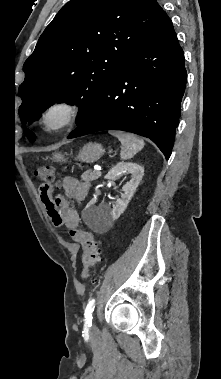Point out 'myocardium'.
I'll list each match as a JSON object with an SVG mask.
<instances>
[{
  "label": "myocardium",
  "mask_w": 221,
  "mask_h": 379,
  "mask_svg": "<svg viewBox=\"0 0 221 379\" xmlns=\"http://www.w3.org/2000/svg\"><path fill=\"white\" fill-rule=\"evenodd\" d=\"M80 116V106L70 99H57L48 103L39 115V126L46 133L62 131Z\"/></svg>",
  "instance_id": "1"
}]
</instances>
